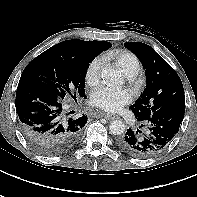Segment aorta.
Returning <instances> with one entry per match:
<instances>
[{
  "label": "aorta",
  "instance_id": "1",
  "mask_svg": "<svg viewBox=\"0 0 197 197\" xmlns=\"http://www.w3.org/2000/svg\"><path fill=\"white\" fill-rule=\"evenodd\" d=\"M102 79L107 83L121 84L123 79L118 70L112 67H105L101 72ZM110 132L114 135H122L125 131V124L122 120H113L110 123Z\"/></svg>",
  "mask_w": 197,
  "mask_h": 197
}]
</instances>
